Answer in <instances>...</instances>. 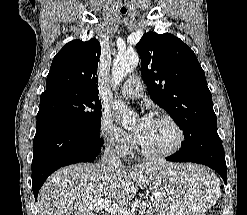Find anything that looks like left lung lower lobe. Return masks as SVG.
I'll list each match as a JSON object with an SVG mask.
<instances>
[{
  "label": "left lung lower lobe",
  "mask_w": 247,
  "mask_h": 215,
  "mask_svg": "<svg viewBox=\"0 0 247 215\" xmlns=\"http://www.w3.org/2000/svg\"><path fill=\"white\" fill-rule=\"evenodd\" d=\"M193 145L183 146L167 160L172 162H193L204 164L216 170L227 184L225 153L218 133L194 137Z\"/></svg>",
  "instance_id": "obj_1"
}]
</instances>
